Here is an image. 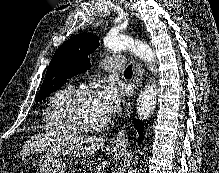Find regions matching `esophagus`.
<instances>
[{"mask_svg":"<svg viewBox=\"0 0 219 173\" xmlns=\"http://www.w3.org/2000/svg\"><path fill=\"white\" fill-rule=\"evenodd\" d=\"M135 74L137 81H140L142 79L143 69L139 63L135 66ZM111 143L116 146H123L127 143L126 124H123L121 129L115 134Z\"/></svg>","mask_w":219,"mask_h":173,"instance_id":"34e87169","label":"esophagus"}]
</instances>
